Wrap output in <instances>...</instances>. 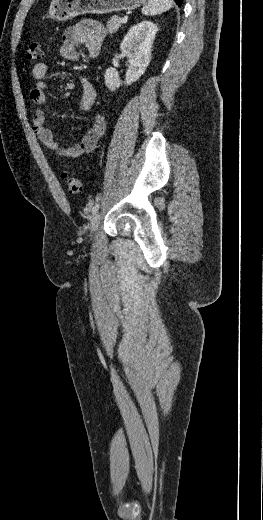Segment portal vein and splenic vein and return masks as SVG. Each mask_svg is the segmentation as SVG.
<instances>
[{"mask_svg":"<svg viewBox=\"0 0 263 520\" xmlns=\"http://www.w3.org/2000/svg\"><path fill=\"white\" fill-rule=\"evenodd\" d=\"M128 20V17H123L120 19V23H126Z\"/></svg>","mask_w":263,"mask_h":520,"instance_id":"1","label":"portal vein and splenic vein"}]
</instances>
